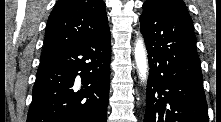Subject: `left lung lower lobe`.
<instances>
[{"instance_id": "0a47b994", "label": "left lung lower lobe", "mask_w": 221, "mask_h": 122, "mask_svg": "<svg viewBox=\"0 0 221 122\" xmlns=\"http://www.w3.org/2000/svg\"><path fill=\"white\" fill-rule=\"evenodd\" d=\"M149 58L144 122H209L192 19L182 0H147L139 18Z\"/></svg>"}]
</instances>
